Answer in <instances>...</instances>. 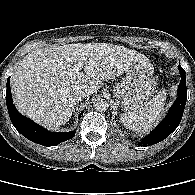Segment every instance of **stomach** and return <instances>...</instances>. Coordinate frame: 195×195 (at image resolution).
I'll return each mask as SVG.
<instances>
[{
  "instance_id": "stomach-1",
  "label": "stomach",
  "mask_w": 195,
  "mask_h": 195,
  "mask_svg": "<svg viewBox=\"0 0 195 195\" xmlns=\"http://www.w3.org/2000/svg\"><path fill=\"white\" fill-rule=\"evenodd\" d=\"M154 68L148 58L133 63L121 82L115 87V95L124 111H135L143 107L156 89Z\"/></svg>"
}]
</instances>
